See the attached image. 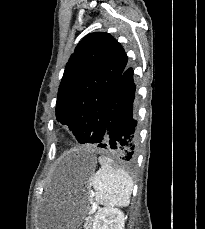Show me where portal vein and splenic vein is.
<instances>
[{"mask_svg":"<svg viewBox=\"0 0 205 229\" xmlns=\"http://www.w3.org/2000/svg\"><path fill=\"white\" fill-rule=\"evenodd\" d=\"M97 208V204L93 203L92 209H91V213H93Z\"/></svg>","mask_w":205,"mask_h":229,"instance_id":"obj_1","label":"portal vein and splenic vein"}]
</instances>
